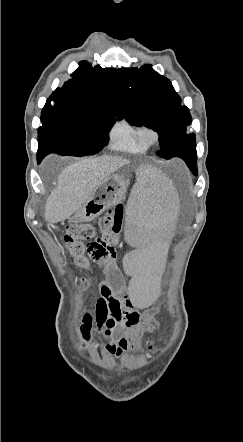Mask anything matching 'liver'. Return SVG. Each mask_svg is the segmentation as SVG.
<instances>
[{"label":"liver","mask_w":243,"mask_h":442,"mask_svg":"<svg viewBox=\"0 0 243 442\" xmlns=\"http://www.w3.org/2000/svg\"><path fill=\"white\" fill-rule=\"evenodd\" d=\"M128 163L127 159L105 155L84 158L66 167L47 198L45 220L58 223L68 219L91 197L104 179Z\"/></svg>","instance_id":"obj_1"}]
</instances>
